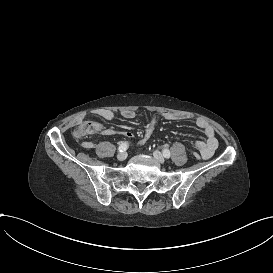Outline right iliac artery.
Listing matches in <instances>:
<instances>
[{"instance_id": "obj_1", "label": "right iliac artery", "mask_w": 273, "mask_h": 273, "mask_svg": "<svg viewBox=\"0 0 273 273\" xmlns=\"http://www.w3.org/2000/svg\"><path fill=\"white\" fill-rule=\"evenodd\" d=\"M129 144L127 142H122L118 148L120 152H124L128 149Z\"/></svg>"}]
</instances>
